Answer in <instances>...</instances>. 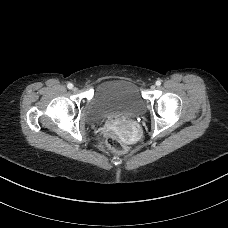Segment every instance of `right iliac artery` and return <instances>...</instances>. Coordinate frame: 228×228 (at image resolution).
Listing matches in <instances>:
<instances>
[{
    "instance_id": "82829eb1",
    "label": "right iliac artery",
    "mask_w": 228,
    "mask_h": 228,
    "mask_svg": "<svg viewBox=\"0 0 228 228\" xmlns=\"http://www.w3.org/2000/svg\"><path fill=\"white\" fill-rule=\"evenodd\" d=\"M67 87H68L69 89H72V88H73V84H72V83H68Z\"/></svg>"
}]
</instances>
